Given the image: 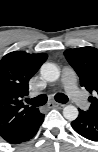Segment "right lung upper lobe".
Returning a JSON list of instances; mask_svg holds the SVG:
<instances>
[{"mask_svg": "<svg viewBox=\"0 0 98 152\" xmlns=\"http://www.w3.org/2000/svg\"><path fill=\"white\" fill-rule=\"evenodd\" d=\"M47 54H28L15 51L0 61V136L7 134L38 108L25 105L22 99L29 94L28 82L46 61Z\"/></svg>", "mask_w": 98, "mask_h": 152, "instance_id": "right-lung-upper-lobe-1", "label": "right lung upper lobe"}]
</instances>
